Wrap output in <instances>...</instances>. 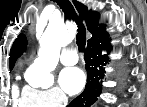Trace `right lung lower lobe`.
I'll return each instance as SVG.
<instances>
[{
    "instance_id": "obj_1",
    "label": "right lung lower lobe",
    "mask_w": 147,
    "mask_h": 107,
    "mask_svg": "<svg viewBox=\"0 0 147 107\" xmlns=\"http://www.w3.org/2000/svg\"><path fill=\"white\" fill-rule=\"evenodd\" d=\"M112 46L109 35L96 42H89L85 52L88 82L83 93L76 97L68 107H90L101 93V82L104 78V66L108 63V55Z\"/></svg>"
}]
</instances>
